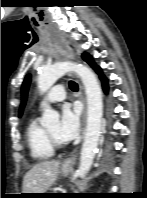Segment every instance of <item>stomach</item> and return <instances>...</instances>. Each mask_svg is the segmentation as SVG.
I'll return each instance as SVG.
<instances>
[{"label":"stomach","instance_id":"stomach-1","mask_svg":"<svg viewBox=\"0 0 147 198\" xmlns=\"http://www.w3.org/2000/svg\"><path fill=\"white\" fill-rule=\"evenodd\" d=\"M70 168L62 167L61 168V174L64 176H67L70 173Z\"/></svg>","mask_w":147,"mask_h":198}]
</instances>
